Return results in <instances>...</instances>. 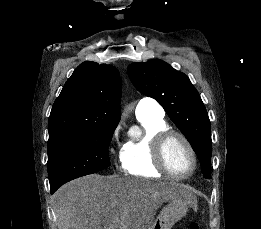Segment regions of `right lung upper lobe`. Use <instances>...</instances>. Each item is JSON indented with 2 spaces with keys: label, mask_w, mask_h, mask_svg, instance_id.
I'll return each instance as SVG.
<instances>
[{
  "label": "right lung upper lobe",
  "mask_w": 261,
  "mask_h": 229,
  "mask_svg": "<svg viewBox=\"0 0 261 229\" xmlns=\"http://www.w3.org/2000/svg\"><path fill=\"white\" fill-rule=\"evenodd\" d=\"M120 97L121 80L114 66L92 61L80 64L53 104L48 146L94 126L118 125Z\"/></svg>",
  "instance_id": "cb5924a9"
}]
</instances>
